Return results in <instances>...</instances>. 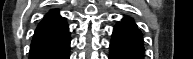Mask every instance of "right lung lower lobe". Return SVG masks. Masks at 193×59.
<instances>
[{
  "label": "right lung lower lobe",
  "mask_w": 193,
  "mask_h": 59,
  "mask_svg": "<svg viewBox=\"0 0 193 59\" xmlns=\"http://www.w3.org/2000/svg\"><path fill=\"white\" fill-rule=\"evenodd\" d=\"M70 33L31 44L29 59H69Z\"/></svg>",
  "instance_id": "1"
}]
</instances>
